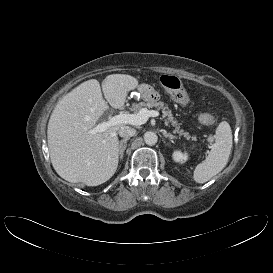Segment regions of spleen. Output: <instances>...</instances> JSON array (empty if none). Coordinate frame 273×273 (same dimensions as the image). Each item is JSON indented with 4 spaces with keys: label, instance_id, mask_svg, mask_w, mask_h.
I'll use <instances>...</instances> for the list:
<instances>
[{
    "label": "spleen",
    "instance_id": "obj_1",
    "mask_svg": "<svg viewBox=\"0 0 273 273\" xmlns=\"http://www.w3.org/2000/svg\"><path fill=\"white\" fill-rule=\"evenodd\" d=\"M208 140L214 143L206 159L194 170V180L197 183L209 181L227 165L233 143L230 125L222 121L216 128L215 135L210 136Z\"/></svg>",
    "mask_w": 273,
    "mask_h": 273
}]
</instances>
